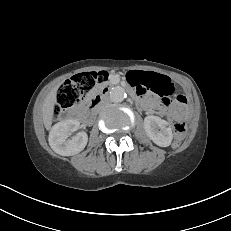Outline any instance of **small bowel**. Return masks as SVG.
I'll list each match as a JSON object with an SVG mask.
<instances>
[{"instance_id":"small-bowel-1","label":"small bowel","mask_w":231,"mask_h":231,"mask_svg":"<svg viewBox=\"0 0 231 231\" xmlns=\"http://www.w3.org/2000/svg\"><path fill=\"white\" fill-rule=\"evenodd\" d=\"M131 75H139L141 78L139 81H134ZM127 80L130 84L134 82L138 86L135 89L140 94L145 90L151 93L146 104L149 112L171 111L169 96L174 92V84L168 76L153 71L134 70L129 72ZM181 111H185V108H182Z\"/></svg>"}]
</instances>
